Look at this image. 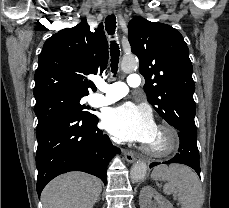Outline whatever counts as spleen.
<instances>
[{
  "instance_id": "1",
  "label": "spleen",
  "mask_w": 229,
  "mask_h": 208,
  "mask_svg": "<svg viewBox=\"0 0 229 208\" xmlns=\"http://www.w3.org/2000/svg\"><path fill=\"white\" fill-rule=\"evenodd\" d=\"M153 180H166L163 188L164 194H173L178 190V200L182 208H201L204 196L199 178L193 170L182 166V164H171V166H157L152 172Z\"/></svg>"
}]
</instances>
